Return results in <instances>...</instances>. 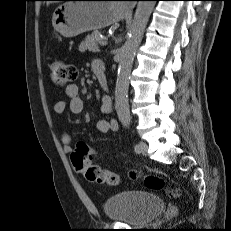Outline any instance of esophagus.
I'll use <instances>...</instances> for the list:
<instances>
[{
	"mask_svg": "<svg viewBox=\"0 0 231 231\" xmlns=\"http://www.w3.org/2000/svg\"><path fill=\"white\" fill-rule=\"evenodd\" d=\"M124 8H126V9H127V8H132V6H127V5H126V6H124Z\"/></svg>",
	"mask_w": 231,
	"mask_h": 231,
	"instance_id": "1",
	"label": "esophagus"
}]
</instances>
